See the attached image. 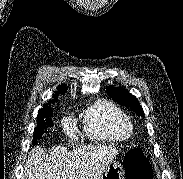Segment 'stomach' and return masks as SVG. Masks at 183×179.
<instances>
[{"label": "stomach", "instance_id": "stomach-1", "mask_svg": "<svg viewBox=\"0 0 183 179\" xmlns=\"http://www.w3.org/2000/svg\"><path fill=\"white\" fill-rule=\"evenodd\" d=\"M100 179H125L123 166L117 161H111L103 171Z\"/></svg>", "mask_w": 183, "mask_h": 179}]
</instances>
